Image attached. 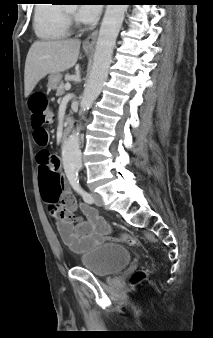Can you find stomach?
Here are the masks:
<instances>
[{
    "mask_svg": "<svg viewBox=\"0 0 213 338\" xmlns=\"http://www.w3.org/2000/svg\"><path fill=\"white\" fill-rule=\"evenodd\" d=\"M86 52L89 51V49L84 48ZM62 79V75L61 73H52L48 76V84L47 87L50 90H54L57 88V86L59 85L60 81Z\"/></svg>",
    "mask_w": 213,
    "mask_h": 338,
    "instance_id": "obj_1",
    "label": "stomach"
}]
</instances>
